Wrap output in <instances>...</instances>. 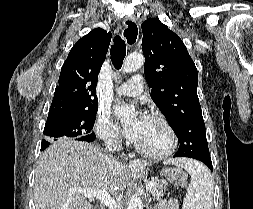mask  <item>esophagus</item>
<instances>
[{"label": "esophagus", "instance_id": "34e87169", "mask_svg": "<svg viewBox=\"0 0 253 209\" xmlns=\"http://www.w3.org/2000/svg\"><path fill=\"white\" fill-rule=\"evenodd\" d=\"M123 30H122V35L123 37L126 39V42L128 44V46H132L136 43L138 36H139V28L138 25L136 23V20L133 18L130 19H125L123 21ZM123 158L128 159V157L125 154H122ZM130 158H132V156L129 155ZM141 161L138 159H134L130 161V165L131 166H136V165H140Z\"/></svg>", "mask_w": 253, "mask_h": 209}]
</instances>
